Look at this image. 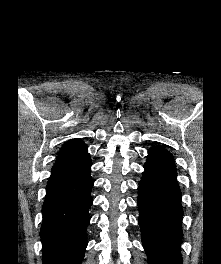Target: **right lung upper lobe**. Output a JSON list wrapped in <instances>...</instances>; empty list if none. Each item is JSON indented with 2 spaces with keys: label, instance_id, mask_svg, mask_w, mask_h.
<instances>
[{
  "label": "right lung upper lobe",
  "instance_id": "right-lung-upper-lobe-1",
  "mask_svg": "<svg viewBox=\"0 0 221 264\" xmlns=\"http://www.w3.org/2000/svg\"><path fill=\"white\" fill-rule=\"evenodd\" d=\"M87 153V147L79 139L66 142L60 149L57 161L67 160Z\"/></svg>",
  "mask_w": 221,
  "mask_h": 264
}]
</instances>
